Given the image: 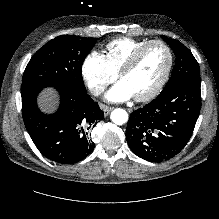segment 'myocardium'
I'll use <instances>...</instances> for the list:
<instances>
[{
	"label": "myocardium",
	"instance_id": "1",
	"mask_svg": "<svg viewBox=\"0 0 219 219\" xmlns=\"http://www.w3.org/2000/svg\"><path fill=\"white\" fill-rule=\"evenodd\" d=\"M152 45L163 46L167 51L169 61H168V65H167V68H166L164 74L162 75L160 80L156 83V85L147 93H145L143 95H139V96H134V99L138 102H144V101L151 100L152 98L157 96L161 92V90L164 88L165 84L167 83V81L170 77V74H171L172 68H173V64H174V55H173L172 49L170 48V46L167 43H165L162 40L148 41L145 45H143L142 47L137 49L126 60V62L123 64V66L121 67V69L118 72V77L120 79H122L123 76L136 65V63L138 62V60L140 59L142 54Z\"/></svg>",
	"mask_w": 219,
	"mask_h": 219
}]
</instances>
